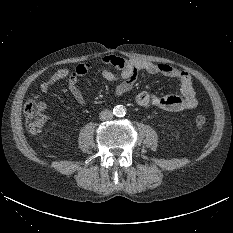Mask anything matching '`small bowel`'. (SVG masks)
<instances>
[{
	"label": "small bowel",
	"instance_id": "obj_1",
	"mask_svg": "<svg viewBox=\"0 0 233 233\" xmlns=\"http://www.w3.org/2000/svg\"><path fill=\"white\" fill-rule=\"evenodd\" d=\"M102 65L109 66L101 70L103 79L118 84L113 90L114 97H121L133 89L137 74L140 71L152 75H162L177 81L180 93L178 95L170 94L165 96H156L150 92L142 91L136 95V103L148 109L159 111L180 112L188 111L196 107L197 98L192 85V79L188 72L179 70L171 65L163 63H153L147 60L131 57H121L117 55H106L100 59ZM93 65L90 62L78 64L73 70L60 69L53 73L46 81L41 83V93H47L57 82L67 79V86L74 100L84 105L86 98L78 87L80 77L87 74Z\"/></svg>",
	"mask_w": 233,
	"mask_h": 233
}]
</instances>
